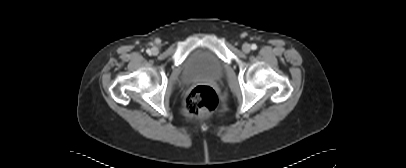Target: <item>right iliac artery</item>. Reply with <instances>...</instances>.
<instances>
[{
	"label": "right iliac artery",
	"mask_w": 406,
	"mask_h": 168,
	"mask_svg": "<svg viewBox=\"0 0 406 168\" xmlns=\"http://www.w3.org/2000/svg\"><path fill=\"white\" fill-rule=\"evenodd\" d=\"M146 52H147L148 54H150L151 51H150V49H147Z\"/></svg>",
	"instance_id": "right-iliac-artery-1"
}]
</instances>
